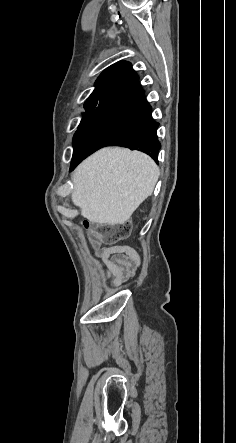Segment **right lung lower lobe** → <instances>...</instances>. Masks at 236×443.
<instances>
[{
	"label": "right lung lower lobe",
	"instance_id": "right-lung-lower-lobe-1",
	"mask_svg": "<svg viewBox=\"0 0 236 443\" xmlns=\"http://www.w3.org/2000/svg\"><path fill=\"white\" fill-rule=\"evenodd\" d=\"M151 106L139 82L108 97L74 137L70 171L84 158L104 146L142 151L157 161L161 147Z\"/></svg>",
	"mask_w": 236,
	"mask_h": 443
}]
</instances>
